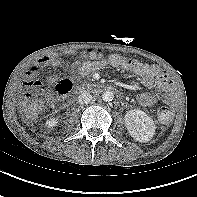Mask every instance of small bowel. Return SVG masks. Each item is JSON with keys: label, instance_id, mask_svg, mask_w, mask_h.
<instances>
[{"label": "small bowel", "instance_id": "c3829d8e", "mask_svg": "<svg viewBox=\"0 0 197 197\" xmlns=\"http://www.w3.org/2000/svg\"><path fill=\"white\" fill-rule=\"evenodd\" d=\"M73 54L74 52H69V55ZM97 54H100L99 50H88L84 52L85 60L74 62L65 67V70L71 72L76 71L81 76H87L91 72L99 70L106 64H109L115 68H122L136 74L140 77L143 86L147 88H156L155 91H145L138 94L137 101L141 106L150 107L156 104L159 100L172 99L174 87L167 74H165L157 65L145 64L119 54H111L106 61H103L97 59ZM61 65L62 60L56 55L40 57L29 72V76H36L39 71L46 66L58 68ZM33 81L38 80H31L27 85L29 86ZM54 81L55 78L50 79V82Z\"/></svg>", "mask_w": 197, "mask_h": 197}]
</instances>
